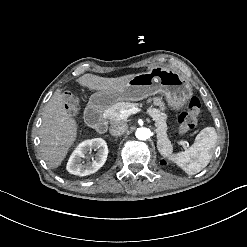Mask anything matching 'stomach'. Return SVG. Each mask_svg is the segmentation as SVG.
<instances>
[{
    "label": "stomach",
    "mask_w": 247,
    "mask_h": 247,
    "mask_svg": "<svg viewBox=\"0 0 247 247\" xmlns=\"http://www.w3.org/2000/svg\"><path fill=\"white\" fill-rule=\"evenodd\" d=\"M164 94L168 105L181 109L192 97L190 82L172 68L153 66L136 74L120 90H100L91 95L89 105L103 111L119 101H140L148 96Z\"/></svg>",
    "instance_id": "0dacf381"
}]
</instances>
